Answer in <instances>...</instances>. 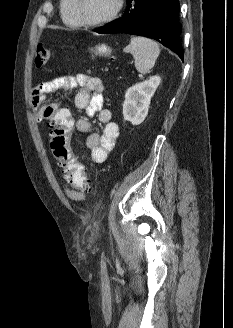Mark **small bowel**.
Returning <instances> with one entry per match:
<instances>
[{
	"mask_svg": "<svg viewBox=\"0 0 233 328\" xmlns=\"http://www.w3.org/2000/svg\"><path fill=\"white\" fill-rule=\"evenodd\" d=\"M56 90L74 91L76 108L85 110L88 117L97 115L99 122L103 125L101 134L93 130L88 118L78 119L75 127L79 132L87 135L86 147L90 151L91 160L95 163L104 162L115 146L119 136V126L112 120L111 111L104 107L102 80L78 74L75 77L69 75L58 77L38 85L32 94V105L38 119L49 120L52 114L58 110L56 105L45 103L47 94ZM68 183L67 180V184L64 186L67 195L72 199L82 200L83 192L68 188Z\"/></svg>",
	"mask_w": 233,
	"mask_h": 328,
	"instance_id": "c3829d8e",
	"label": "small bowel"
}]
</instances>
